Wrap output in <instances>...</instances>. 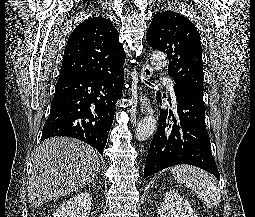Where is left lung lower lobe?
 <instances>
[{"instance_id":"0a47b994","label":"left lung lower lobe","mask_w":255,"mask_h":217,"mask_svg":"<svg viewBox=\"0 0 255 217\" xmlns=\"http://www.w3.org/2000/svg\"><path fill=\"white\" fill-rule=\"evenodd\" d=\"M178 118L166 120L168 110H161L159 126L147 155L144 177L178 164L199 167L220 179L211 154L210 139L205 126L203 93L175 83ZM157 100L161 95L157 93Z\"/></svg>"}]
</instances>
